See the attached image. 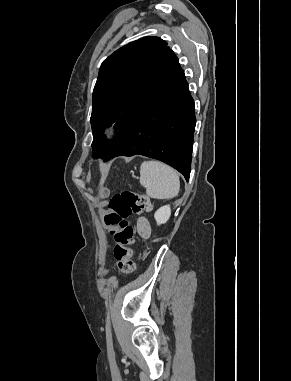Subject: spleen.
Masks as SVG:
<instances>
[{"label": "spleen", "mask_w": 291, "mask_h": 381, "mask_svg": "<svg viewBox=\"0 0 291 381\" xmlns=\"http://www.w3.org/2000/svg\"><path fill=\"white\" fill-rule=\"evenodd\" d=\"M140 184L146 194L154 199H171L178 195L180 180L178 173L159 161H144L140 166Z\"/></svg>", "instance_id": "3e777b00"}]
</instances>
